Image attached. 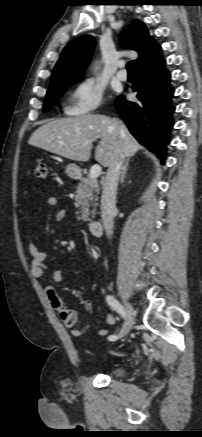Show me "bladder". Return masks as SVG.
<instances>
[{"mask_svg": "<svg viewBox=\"0 0 202 437\" xmlns=\"http://www.w3.org/2000/svg\"><path fill=\"white\" fill-rule=\"evenodd\" d=\"M111 373L116 376H121L125 373V368L121 365H115L111 368Z\"/></svg>", "mask_w": 202, "mask_h": 437, "instance_id": "31cf9c89", "label": "bladder"}]
</instances>
